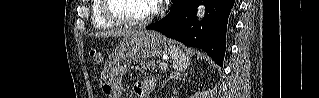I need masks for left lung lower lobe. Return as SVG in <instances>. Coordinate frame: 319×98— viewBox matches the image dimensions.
I'll list each match as a JSON object with an SVG mask.
<instances>
[{"label": "left lung lower lobe", "instance_id": "1", "mask_svg": "<svg viewBox=\"0 0 319 98\" xmlns=\"http://www.w3.org/2000/svg\"><path fill=\"white\" fill-rule=\"evenodd\" d=\"M204 4L206 14L196 19L197 7ZM234 0H173L168 15L146 29L161 32L185 45L204 50L218 65H223L226 30Z\"/></svg>", "mask_w": 319, "mask_h": 98}]
</instances>
